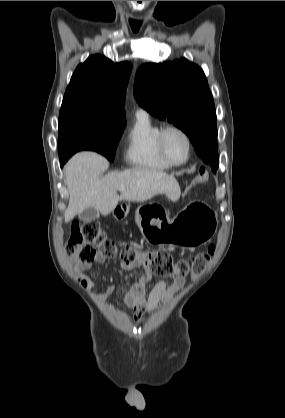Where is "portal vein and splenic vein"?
Returning a JSON list of instances; mask_svg holds the SVG:
<instances>
[{"mask_svg":"<svg viewBox=\"0 0 285 418\" xmlns=\"http://www.w3.org/2000/svg\"><path fill=\"white\" fill-rule=\"evenodd\" d=\"M124 190H125V188H123V187H120V188H119V191H120V192H123Z\"/></svg>","mask_w":285,"mask_h":418,"instance_id":"18ae733b","label":"portal vein and splenic vein"}]
</instances>
